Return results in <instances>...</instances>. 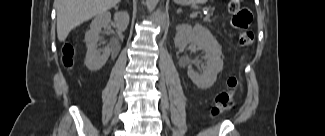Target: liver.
I'll return each mask as SVG.
<instances>
[{"instance_id":"liver-1","label":"liver","mask_w":325,"mask_h":136,"mask_svg":"<svg viewBox=\"0 0 325 136\" xmlns=\"http://www.w3.org/2000/svg\"><path fill=\"white\" fill-rule=\"evenodd\" d=\"M120 0H55L57 11V37L65 41L71 30L83 22L99 15Z\"/></svg>"}]
</instances>
